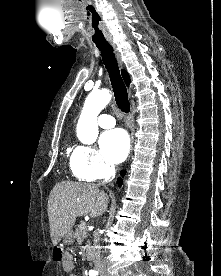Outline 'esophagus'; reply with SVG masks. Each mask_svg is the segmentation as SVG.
<instances>
[{
    "label": "esophagus",
    "mask_w": 221,
    "mask_h": 276,
    "mask_svg": "<svg viewBox=\"0 0 221 276\" xmlns=\"http://www.w3.org/2000/svg\"><path fill=\"white\" fill-rule=\"evenodd\" d=\"M110 44L112 45L113 49H114V53H115V56L119 62L120 65H122V62H121V57H120V54L116 48V45L113 43V42H110Z\"/></svg>",
    "instance_id": "34e87169"
}]
</instances>
